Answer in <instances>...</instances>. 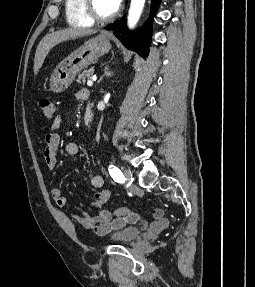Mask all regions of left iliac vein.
Masks as SVG:
<instances>
[{
  "instance_id": "4c4485c4",
  "label": "left iliac vein",
  "mask_w": 255,
  "mask_h": 287,
  "mask_svg": "<svg viewBox=\"0 0 255 287\" xmlns=\"http://www.w3.org/2000/svg\"><path fill=\"white\" fill-rule=\"evenodd\" d=\"M124 176L126 184L131 185L133 179H132V173L129 169L124 170Z\"/></svg>"
}]
</instances>
